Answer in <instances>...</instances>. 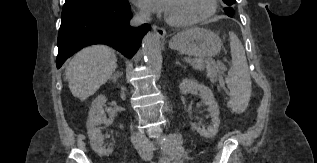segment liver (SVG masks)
<instances>
[{"label":"liver","mask_w":317,"mask_h":163,"mask_svg":"<svg viewBox=\"0 0 317 163\" xmlns=\"http://www.w3.org/2000/svg\"><path fill=\"white\" fill-rule=\"evenodd\" d=\"M112 48L92 45L78 52L66 67L65 74L73 96L81 101L105 84L117 67Z\"/></svg>","instance_id":"obj_1"}]
</instances>
